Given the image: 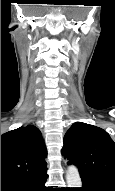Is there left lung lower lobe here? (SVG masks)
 Returning a JSON list of instances; mask_svg holds the SVG:
<instances>
[{
  "label": "left lung lower lobe",
  "instance_id": "left-lung-lower-lobe-1",
  "mask_svg": "<svg viewBox=\"0 0 115 191\" xmlns=\"http://www.w3.org/2000/svg\"><path fill=\"white\" fill-rule=\"evenodd\" d=\"M82 187L77 191H113L108 186L89 179H82Z\"/></svg>",
  "mask_w": 115,
  "mask_h": 191
}]
</instances>
